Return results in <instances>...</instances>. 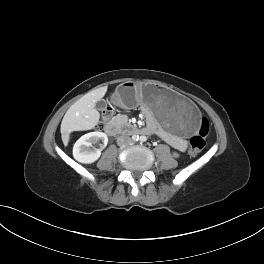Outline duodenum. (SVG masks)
<instances>
[{
    "label": "duodenum",
    "instance_id": "duodenum-1",
    "mask_svg": "<svg viewBox=\"0 0 264 264\" xmlns=\"http://www.w3.org/2000/svg\"><path fill=\"white\" fill-rule=\"evenodd\" d=\"M105 132L110 136H115L120 133H125V134L139 133L142 132V130L132 125H121L118 122L109 121L105 125Z\"/></svg>",
    "mask_w": 264,
    "mask_h": 264
}]
</instances>
